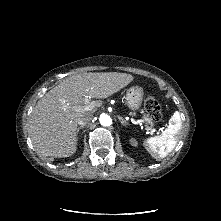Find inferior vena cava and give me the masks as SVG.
Returning <instances> with one entry per match:
<instances>
[{"label":"inferior vena cava","mask_w":221,"mask_h":221,"mask_svg":"<svg viewBox=\"0 0 221 221\" xmlns=\"http://www.w3.org/2000/svg\"><path fill=\"white\" fill-rule=\"evenodd\" d=\"M93 118L92 113H85L78 119V124L85 125L89 121H91Z\"/></svg>","instance_id":"obj_1"}]
</instances>
